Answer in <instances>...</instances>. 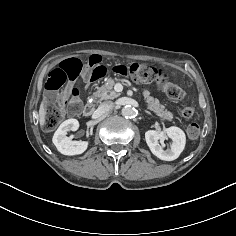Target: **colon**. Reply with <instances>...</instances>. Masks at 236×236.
Listing matches in <instances>:
<instances>
[{
    "mask_svg": "<svg viewBox=\"0 0 236 236\" xmlns=\"http://www.w3.org/2000/svg\"><path fill=\"white\" fill-rule=\"evenodd\" d=\"M111 71L120 76H128L140 83H155L172 100L179 101L185 96L184 91L178 85L169 81L168 75L162 70L143 62H133L127 65H115ZM108 69L99 65L96 57H91L86 64L80 59L69 58L55 69L46 83L48 99L43 121L45 130L55 129L63 120L65 112L71 116L78 115L82 110V103L78 98V89L67 90L69 101L65 104L59 91L68 81H74L82 76L87 82H95L106 76ZM194 109L191 106H183L180 115L189 119L193 116ZM187 135L190 139H197L200 135V126L191 123L187 127Z\"/></svg>",
    "mask_w": 236,
    "mask_h": 236,
    "instance_id": "colon-1",
    "label": "colon"
}]
</instances>
